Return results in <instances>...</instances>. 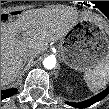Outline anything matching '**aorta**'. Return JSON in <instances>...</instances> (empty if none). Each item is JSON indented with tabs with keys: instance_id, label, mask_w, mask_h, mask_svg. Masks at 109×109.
<instances>
[{
	"instance_id": "obj_1",
	"label": "aorta",
	"mask_w": 109,
	"mask_h": 109,
	"mask_svg": "<svg viewBox=\"0 0 109 109\" xmlns=\"http://www.w3.org/2000/svg\"><path fill=\"white\" fill-rule=\"evenodd\" d=\"M43 65L46 69H53L56 65V60L54 57H47L44 59Z\"/></svg>"
}]
</instances>
